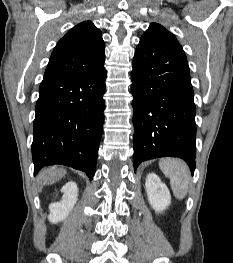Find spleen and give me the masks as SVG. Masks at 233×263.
I'll return each instance as SVG.
<instances>
[{"instance_id": "3e777b00", "label": "spleen", "mask_w": 233, "mask_h": 263, "mask_svg": "<svg viewBox=\"0 0 233 263\" xmlns=\"http://www.w3.org/2000/svg\"><path fill=\"white\" fill-rule=\"evenodd\" d=\"M159 167L164 175L170 178V184L175 197L183 199L189 188L190 174L188 166L180 159L164 158Z\"/></svg>"}]
</instances>
